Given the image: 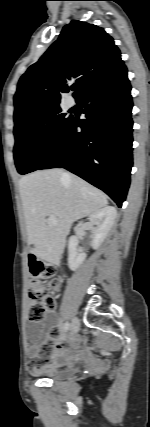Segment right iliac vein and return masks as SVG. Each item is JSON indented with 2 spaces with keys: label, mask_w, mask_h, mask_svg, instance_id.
<instances>
[{
  "label": "right iliac vein",
  "mask_w": 150,
  "mask_h": 427,
  "mask_svg": "<svg viewBox=\"0 0 150 427\" xmlns=\"http://www.w3.org/2000/svg\"><path fill=\"white\" fill-rule=\"evenodd\" d=\"M79 327H80V323H79V320H78V318H73V320H72V322H71V326H70V330H71V332L72 333H76V332H78V330H79Z\"/></svg>",
  "instance_id": "right-iliac-vein-1"
}]
</instances>
